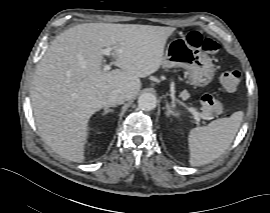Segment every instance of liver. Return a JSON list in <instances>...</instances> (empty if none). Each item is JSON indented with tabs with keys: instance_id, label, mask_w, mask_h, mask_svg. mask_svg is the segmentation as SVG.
I'll list each match as a JSON object with an SVG mask.
<instances>
[{
	"instance_id": "obj_1",
	"label": "liver",
	"mask_w": 270,
	"mask_h": 213,
	"mask_svg": "<svg viewBox=\"0 0 270 213\" xmlns=\"http://www.w3.org/2000/svg\"><path fill=\"white\" fill-rule=\"evenodd\" d=\"M174 27L84 23L59 34L40 60L32 82L31 104L45 143L74 162L85 159L90 117L110 106L108 95L121 90L127 100L140 78L159 70ZM112 47L121 69L102 71L103 48Z\"/></svg>"
}]
</instances>
